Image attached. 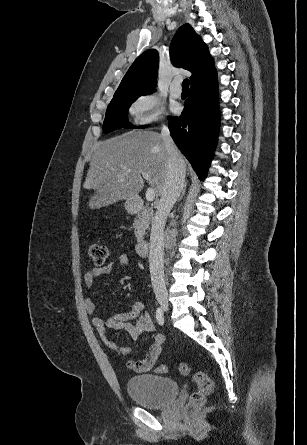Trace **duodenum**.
Returning <instances> with one entry per match:
<instances>
[{
  "instance_id": "1",
  "label": "duodenum",
  "mask_w": 307,
  "mask_h": 445,
  "mask_svg": "<svg viewBox=\"0 0 307 445\" xmlns=\"http://www.w3.org/2000/svg\"><path fill=\"white\" fill-rule=\"evenodd\" d=\"M143 199L139 196H135L129 200L128 210L131 213H137L143 207ZM149 242L146 240L140 241L136 246V251L140 256H146L149 253Z\"/></svg>"
}]
</instances>
